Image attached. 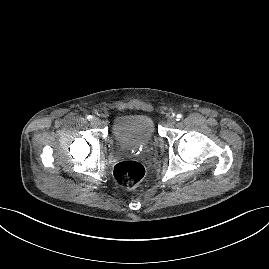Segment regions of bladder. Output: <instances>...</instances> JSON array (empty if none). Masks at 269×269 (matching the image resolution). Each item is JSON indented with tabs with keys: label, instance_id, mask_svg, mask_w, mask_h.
I'll return each mask as SVG.
<instances>
[{
	"label": "bladder",
	"instance_id": "bladder-1",
	"mask_svg": "<svg viewBox=\"0 0 269 269\" xmlns=\"http://www.w3.org/2000/svg\"><path fill=\"white\" fill-rule=\"evenodd\" d=\"M114 141L123 147H146L156 136L154 120L146 114H125L116 117L111 127Z\"/></svg>",
	"mask_w": 269,
	"mask_h": 269
}]
</instances>
